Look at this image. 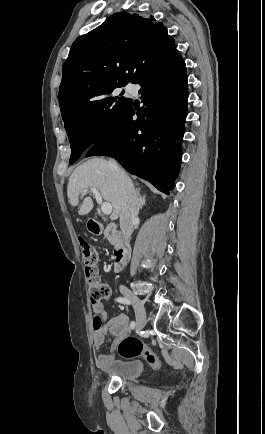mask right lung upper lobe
Masks as SVG:
<instances>
[{
    "label": "right lung upper lobe",
    "mask_w": 265,
    "mask_h": 434,
    "mask_svg": "<svg viewBox=\"0 0 265 434\" xmlns=\"http://www.w3.org/2000/svg\"><path fill=\"white\" fill-rule=\"evenodd\" d=\"M175 48L166 26L153 16L115 13L73 42L62 67L58 99L106 80L133 83L147 66Z\"/></svg>",
    "instance_id": "1"
}]
</instances>
